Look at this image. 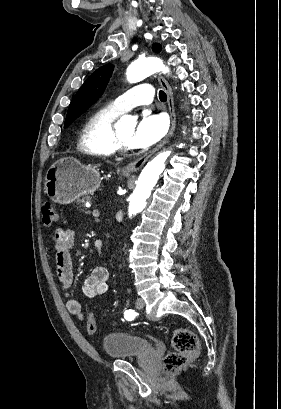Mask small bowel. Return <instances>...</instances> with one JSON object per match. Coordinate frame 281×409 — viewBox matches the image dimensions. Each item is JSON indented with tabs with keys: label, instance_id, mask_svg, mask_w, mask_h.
Segmentation results:
<instances>
[{
	"label": "small bowel",
	"instance_id": "obj_1",
	"mask_svg": "<svg viewBox=\"0 0 281 409\" xmlns=\"http://www.w3.org/2000/svg\"><path fill=\"white\" fill-rule=\"evenodd\" d=\"M73 243L74 232L71 229L60 228L56 230L54 235L55 272L66 299L68 312L88 323L89 320L95 319L93 314L84 315L80 303L69 295L73 282V259L71 256ZM93 246L97 252L101 253L103 251V243L100 240H95ZM109 279L110 272L108 268L104 266L93 268L83 285L85 295L96 297L107 293Z\"/></svg>",
	"mask_w": 281,
	"mask_h": 409
}]
</instances>
